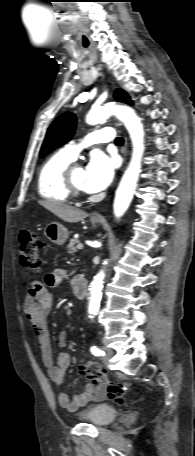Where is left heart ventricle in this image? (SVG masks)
Wrapping results in <instances>:
<instances>
[{
  "instance_id": "obj_1",
  "label": "left heart ventricle",
  "mask_w": 195,
  "mask_h": 456,
  "mask_svg": "<svg viewBox=\"0 0 195 456\" xmlns=\"http://www.w3.org/2000/svg\"><path fill=\"white\" fill-rule=\"evenodd\" d=\"M72 178H73L74 183L78 187L84 189V179H85V169L84 168L77 167L76 169H74Z\"/></svg>"
}]
</instances>
